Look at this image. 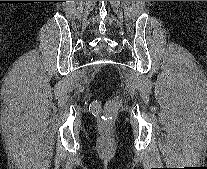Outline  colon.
<instances>
[{"instance_id":"obj_1","label":"colon","mask_w":207,"mask_h":169,"mask_svg":"<svg viewBox=\"0 0 207 169\" xmlns=\"http://www.w3.org/2000/svg\"><path fill=\"white\" fill-rule=\"evenodd\" d=\"M118 108H119V102L116 100H111L106 103L105 112L110 115L115 113L118 110Z\"/></svg>"}]
</instances>
